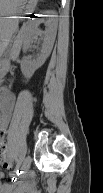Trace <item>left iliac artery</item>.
Masks as SVG:
<instances>
[{"mask_svg":"<svg viewBox=\"0 0 103 193\" xmlns=\"http://www.w3.org/2000/svg\"><path fill=\"white\" fill-rule=\"evenodd\" d=\"M26 152H27V146L23 145L22 148H21V151H20V156H19V161H18V164H17V168L20 167V164L24 160Z\"/></svg>","mask_w":103,"mask_h":193,"instance_id":"44dca946","label":"left iliac artery"}]
</instances>
